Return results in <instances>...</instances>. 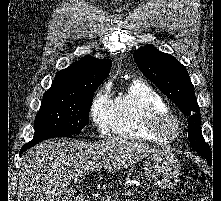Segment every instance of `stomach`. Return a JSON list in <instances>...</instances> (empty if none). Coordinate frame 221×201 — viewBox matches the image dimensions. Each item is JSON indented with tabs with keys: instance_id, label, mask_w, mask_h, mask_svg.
I'll return each mask as SVG.
<instances>
[{
	"instance_id": "1",
	"label": "stomach",
	"mask_w": 221,
	"mask_h": 201,
	"mask_svg": "<svg viewBox=\"0 0 221 201\" xmlns=\"http://www.w3.org/2000/svg\"><path fill=\"white\" fill-rule=\"evenodd\" d=\"M146 177L156 186L167 189L174 187L181 175V167L171 151L153 153L144 162Z\"/></svg>"
}]
</instances>
